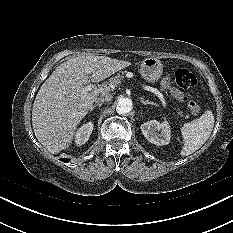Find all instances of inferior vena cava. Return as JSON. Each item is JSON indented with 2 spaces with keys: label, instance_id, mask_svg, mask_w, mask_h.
Here are the masks:
<instances>
[{
  "label": "inferior vena cava",
  "instance_id": "obj_1",
  "mask_svg": "<svg viewBox=\"0 0 233 233\" xmlns=\"http://www.w3.org/2000/svg\"><path fill=\"white\" fill-rule=\"evenodd\" d=\"M111 99H112L111 96L103 95V96L98 97V98L95 100V103H96L97 105H102L104 102H109Z\"/></svg>",
  "mask_w": 233,
  "mask_h": 233
}]
</instances>
